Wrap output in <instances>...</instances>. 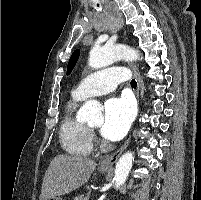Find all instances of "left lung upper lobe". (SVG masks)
I'll list each match as a JSON object with an SVG mask.
<instances>
[{
    "instance_id": "obj_1",
    "label": "left lung upper lobe",
    "mask_w": 201,
    "mask_h": 200,
    "mask_svg": "<svg viewBox=\"0 0 201 200\" xmlns=\"http://www.w3.org/2000/svg\"><path fill=\"white\" fill-rule=\"evenodd\" d=\"M80 55V51L79 50H75L68 62V67H67V74H70L72 69L74 68L76 62H77V59Z\"/></svg>"
}]
</instances>
